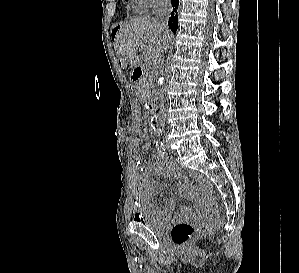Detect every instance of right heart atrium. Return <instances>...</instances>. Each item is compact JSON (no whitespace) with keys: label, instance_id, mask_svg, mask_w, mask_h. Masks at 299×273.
<instances>
[{"label":"right heart atrium","instance_id":"obj_1","mask_svg":"<svg viewBox=\"0 0 299 273\" xmlns=\"http://www.w3.org/2000/svg\"><path fill=\"white\" fill-rule=\"evenodd\" d=\"M136 8L142 12H149L164 4L167 0H133Z\"/></svg>","mask_w":299,"mask_h":273}]
</instances>
